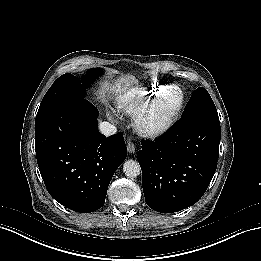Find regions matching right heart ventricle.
<instances>
[{"label":"right heart ventricle","mask_w":261,"mask_h":261,"mask_svg":"<svg viewBox=\"0 0 261 261\" xmlns=\"http://www.w3.org/2000/svg\"><path fill=\"white\" fill-rule=\"evenodd\" d=\"M134 101H131V100H125L123 103H122V105H121V108L124 110V111H126V112H129V113H133V112H135L136 111V105H135V103H136V101H135V103H133Z\"/></svg>","instance_id":"right-heart-ventricle-1"}]
</instances>
